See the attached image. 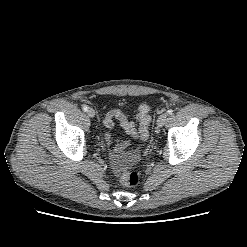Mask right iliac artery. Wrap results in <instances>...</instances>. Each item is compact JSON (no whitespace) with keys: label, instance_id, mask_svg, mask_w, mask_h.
Listing matches in <instances>:
<instances>
[{"label":"right iliac artery","instance_id":"82829eb1","mask_svg":"<svg viewBox=\"0 0 247 247\" xmlns=\"http://www.w3.org/2000/svg\"><path fill=\"white\" fill-rule=\"evenodd\" d=\"M82 109L84 112H86L88 110V107L86 105H84Z\"/></svg>","mask_w":247,"mask_h":247}]
</instances>
